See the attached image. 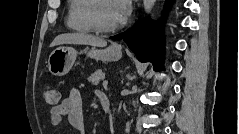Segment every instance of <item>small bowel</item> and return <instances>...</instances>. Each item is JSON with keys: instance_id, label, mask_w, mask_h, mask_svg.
<instances>
[{"instance_id": "c3829d8e", "label": "small bowel", "mask_w": 239, "mask_h": 134, "mask_svg": "<svg viewBox=\"0 0 239 134\" xmlns=\"http://www.w3.org/2000/svg\"><path fill=\"white\" fill-rule=\"evenodd\" d=\"M103 93L97 92L96 95L100 100ZM63 117H67L70 125L80 134L86 133V123L83 110L81 94L78 90L73 89L69 92L63 101L54 106L50 111V121L52 126L61 124Z\"/></svg>"}]
</instances>
